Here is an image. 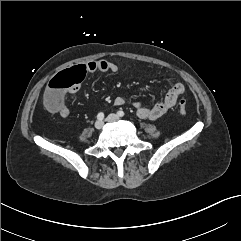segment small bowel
<instances>
[{
  "mask_svg": "<svg viewBox=\"0 0 241 241\" xmlns=\"http://www.w3.org/2000/svg\"><path fill=\"white\" fill-rule=\"evenodd\" d=\"M87 72H103V73H112L115 74L118 72L119 68L117 64L106 61H90L86 64H83ZM79 87H73L69 92L70 94H74L78 91ZM185 87L182 83H175L166 93L165 97L162 101L158 102L152 107H146L140 101L134 102V106L137 108V114L140 118L156 120L167 113L172 107L175 106L177 99L184 93ZM65 93L61 99V101L53 108L49 109L50 112L60 115L63 118H67L70 116V110L65 105ZM115 106H122L126 103V99L122 96H116L113 100Z\"/></svg>",
  "mask_w": 241,
  "mask_h": 241,
  "instance_id": "obj_1",
  "label": "small bowel"
}]
</instances>
